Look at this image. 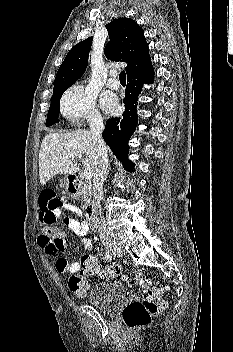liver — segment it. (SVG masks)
Here are the masks:
<instances>
[{
	"label": "liver",
	"instance_id": "liver-1",
	"mask_svg": "<svg viewBox=\"0 0 233 352\" xmlns=\"http://www.w3.org/2000/svg\"><path fill=\"white\" fill-rule=\"evenodd\" d=\"M83 159L84 170L94 176L97 147L91 133L77 129L67 133H49L42 141L39 152V177L42 185L54 175H74Z\"/></svg>",
	"mask_w": 233,
	"mask_h": 352
}]
</instances>
